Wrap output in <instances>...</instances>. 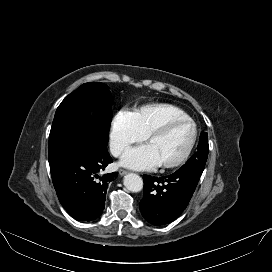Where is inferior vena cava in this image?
<instances>
[{"mask_svg":"<svg viewBox=\"0 0 272 272\" xmlns=\"http://www.w3.org/2000/svg\"><path fill=\"white\" fill-rule=\"evenodd\" d=\"M125 148V145L122 143H114L111 145L110 150L114 157H118L121 155L123 149Z\"/></svg>","mask_w":272,"mask_h":272,"instance_id":"inferior-vena-cava-1","label":"inferior vena cava"}]
</instances>
